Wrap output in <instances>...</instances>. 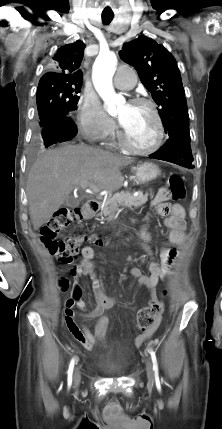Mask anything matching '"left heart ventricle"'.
<instances>
[{"instance_id": "1", "label": "left heart ventricle", "mask_w": 222, "mask_h": 429, "mask_svg": "<svg viewBox=\"0 0 222 429\" xmlns=\"http://www.w3.org/2000/svg\"><path fill=\"white\" fill-rule=\"evenodd\" d=\"M117 116L128 140L138 148H148L156 140V124L148 107L123 104Z\"/></svg>"}]
</instances>
